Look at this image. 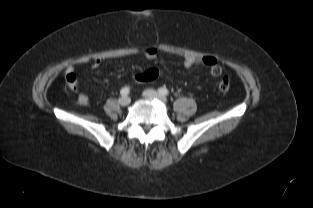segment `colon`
<instances>
[{
    "label": "colon",
    "mask_w": 313,
    "mask_h": 208,
    "mask_svg": "<svg viewBox=\"0 0 313 208\" xmlns=\"http://www.w3.org/2000/svg\"><path fill=\"white\" fill-rule=\"evenodd\" d=\"M221 67L217 64V65H213L210 68V72L212 75L214 76H218L221 74ZM160 73L157 69L155 68H151L148 69L142 73H139L136 76V80L141 82V83H149V82H153L155 81L158 77H159ZM68 85L70 88H74L77 86V80L74 76H70L68 77V81H67ZM230 88V80L227 76H224L221 78V80L218 83V89L221 92H226L228 91Z\"/></svg>",
    "instance_id": "5ec220e1"
}]
</instances>
